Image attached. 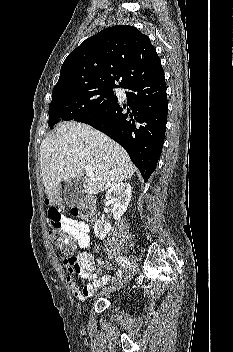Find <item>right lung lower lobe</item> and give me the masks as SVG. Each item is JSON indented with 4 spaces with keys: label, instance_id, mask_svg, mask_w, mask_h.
Segmentation results:
<instances>
[{
    "label": "right lung lower lobe",
    "instance_id": "1",
    "mask_svg": "<svg viewBox=\"0 0 233 352\" xmlns=\"http://www.w3.org/2000/svg\"><path fill=\"white\" fill-rule=\"evenodd\" d=\"M125 89L131 110H124L126 106L116 101L78 121L118 142L147 182L156 168L165 138L168 103L164 73Z\"/></svg>",
    "mask_w": 233,
    "mask_h": 352
}]
</instances>
